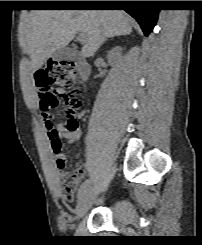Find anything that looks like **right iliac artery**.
<instances>
[{
	"instance_id": "82829eb1",
	"label": "right iliac artery",
	"mask_w": 202,
	"mask_h": 245,
	"mask_svg": "<svg viewBox=\"0 0 202 245\" xmlns=\"http://www.w3.org/2000/svg\"><path fill=\"white\" fill-rule=\"evenodd\" d=\"M90 184H91V179H87L83 182V184L81 185L78 191V198L88 190Z\"/></svg>"
}]
</instances>
